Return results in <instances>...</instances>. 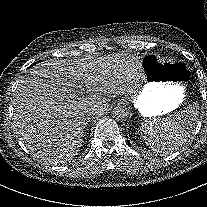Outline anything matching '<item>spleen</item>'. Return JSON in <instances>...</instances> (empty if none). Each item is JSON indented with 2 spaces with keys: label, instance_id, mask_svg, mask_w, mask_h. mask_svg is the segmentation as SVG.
<instances>
[{
  "label": "spleen",
  "instance_id": "1",
  "mask_svg": "<svg viewBox=\"0 0 207 207\" xmlns=\"http://www.w3.org/2000/svg\"><path fill=\"white\" fill-rule=\"evenodd\" d=\"M200 116V108L191 105L164 119L144 122L140 133L147 140V150L158 156L174 152L192 135Z\"/></svg>",
  "mask_w": 207,
  "mask_h": 207
}]
</instances>
